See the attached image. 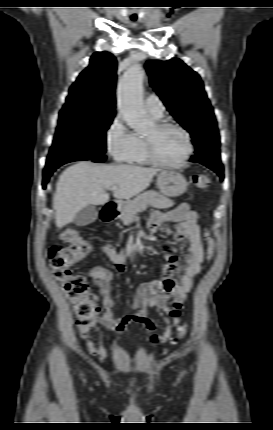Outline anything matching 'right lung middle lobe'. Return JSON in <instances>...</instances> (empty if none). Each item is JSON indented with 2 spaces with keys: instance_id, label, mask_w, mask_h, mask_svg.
Segmentation results:
<instances>
[{
  "instance_id": "obj_1",
  "label": "right lung middle lobe",
  "mask_w": 273,
  "mask_h": 430,
  "mask_svg": "<svg viewBox=\"0 0 273 430\" xmlns=\"http://www.w3.org/2000/svg\"><path fill=\"white\" fill-rule=\"evenodd\" d=\"M115 114H90L76 109L61 110L55 138L44 171L106 152V131Z\"/></svg>"
}]
</instances>
